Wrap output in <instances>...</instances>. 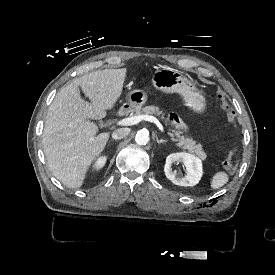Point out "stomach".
I'll return each mask as SVG.
<instances>
[{
	"instance_id": "0dacf381",
	"label": "stomach",
	"mask_w": 275,
	"mask_h": 275,
	"mask_svg": "<svg viewBox=\"0 0 275 275\" xmlns=\"http://www.w3.org/2000/svg\"><path fill=\"white\" fill-rule=\"evenodd\" d=\"M152 84L162 92L180 94L186 106L195 111L202 112L206 107V100L202 92L197 89L191 80L177 70L163 68L155 71ZM147 98V93L144 90L136 89L129 92L128 101L122 105V111L127 113L141 109Z\"/></svg>"
}]
</instances>
